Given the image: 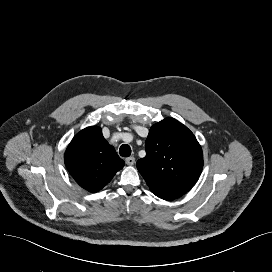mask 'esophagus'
Segmentation results:
<instances>
[{"label":"esophagus","instance_id":"1","mask_svg":"<svg viewBox=\"0 0 272 272\" xmlns=\"http://www.w3.org/2000/svg\"><path fill=\"white\" fill-rule=\"evenodd\" d=\"M125 161H126L127 165L132 166L135 163V158L134 157H128V158H126Z\"/></svg>","mask_w":272,"mask_h":272}]
</instances>
